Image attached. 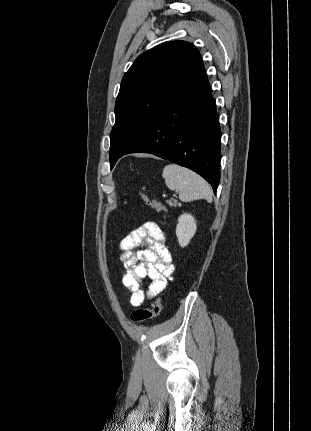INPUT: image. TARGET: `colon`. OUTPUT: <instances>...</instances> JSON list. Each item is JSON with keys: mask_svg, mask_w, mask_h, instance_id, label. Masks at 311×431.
Returning <instances> with one entry per match:
<instances>
[{"mask_svg": "<svg viewBox=\"0 0 311 431\" xmlns=\"http://www.w3.org/2000/svg\"><path fill=\"white\" fill-rule=\"evenodd\" d=\"M143 202L149 206L150 208L156 210L157 212L163 213L164 215H166L167 213V208L158 200L156 199H152L150 197H148L145 194H140ZM161 300L159 297H156L150 308L149 309H137L135 310L132 314H131V319L134 322H143L146 321L148 319L154 318L159 316V314L161 313Z\"/></svg>", "mask_w": 311, "mask_h": 431, "instance_id": "5ec220e1", "label": "colon"}]
</instances>
